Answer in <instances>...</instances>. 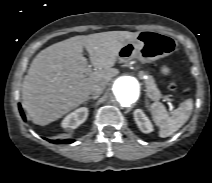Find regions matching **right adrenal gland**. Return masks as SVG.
Returning <instances> with one entry per match:
<instances>
[{"mask_svg":"<svg viewBox=\"0 0 212 183\" xmlns=\"http://www.w3.org/2000/svg\"><path fill=\"white\" fill-rule=\"evenodd\" d=\"M98 97H99L98 95L88 97V98L85 100V104H87V102H88L89 100H91V99L96 100Z\"/></svg>","mask_w":212,"mask_h":183,"instance_id":"obj_1","label":"right adrenal gland"}]
</instances>
